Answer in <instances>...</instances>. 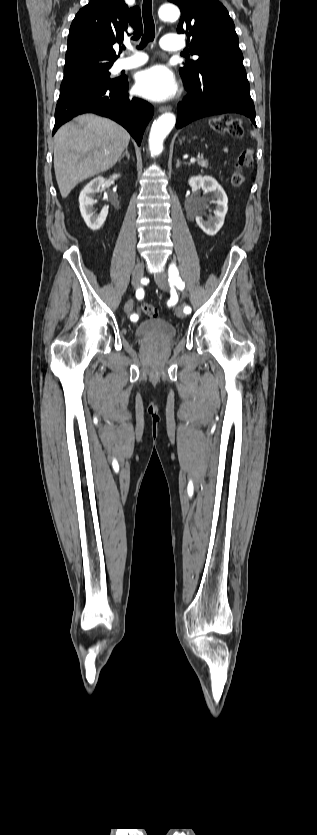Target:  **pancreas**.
I'll return each instance as SVG.
<instances>
[{"instance_id":"1","label":"pancreas","mask_w":317,"mask_h":835,"mask_svg":"<svg viewBox=\"0 0 317 835\" xmlns=\"http://www.w3.org/2000/svg\"><path fill=\"white\" fill-rule=\"evenodd\" d=\"M198 165H200L204 168H208V161L206 159H199L198 160Z\"/></svg>"}]
</instances>
